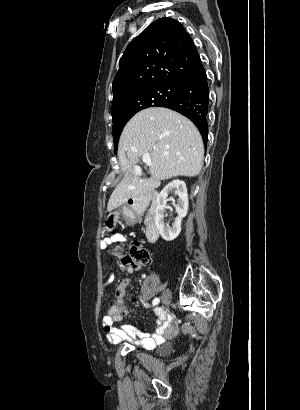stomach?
<instances>
[{"mask_svg": "<svg viewBox=\"0 0 300 410\" xmlns=\"http://www.w3.org/2000/svg\"><path fill=\"white\" fill-rule=\"evenodd\" d=\"M120 215L124 216L125 218H132L134 216L133 212L126 206L120 208L119 210H115L110 212L106 218L105 229L107 232H111L116 223L118 222Z\"/></svg>", "mask_w": 300, "mask_h": 410, "instance_id": "1", "label": "stomach"}]
</instances>
